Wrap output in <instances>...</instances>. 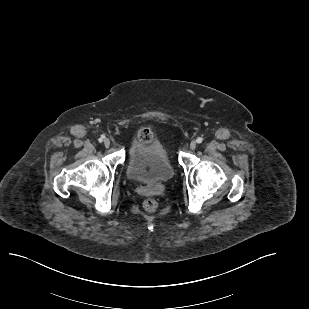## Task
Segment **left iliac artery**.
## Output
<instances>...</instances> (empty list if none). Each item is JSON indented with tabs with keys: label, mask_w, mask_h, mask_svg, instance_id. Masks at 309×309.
<instances>
[{
	"label": "left iliac artery",
	"mask_w": 309,
	"mask_h": 309,
	"mask_svg": "<svg viewBox=\"0 0 309 309\" xmlns=\"http://www.w3.org/2000/svg\"><path fill=\"white\" fill-rule=\"evenodd\" d=\"M202 141H203V138H201V137H198V138L196 139V142L199 143V144L202 143Z\"/></svg>",
	"instance_id": "44dca946"
}]
</instances>
